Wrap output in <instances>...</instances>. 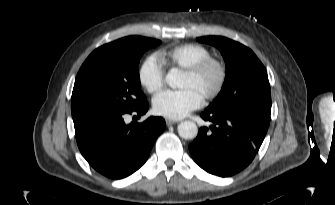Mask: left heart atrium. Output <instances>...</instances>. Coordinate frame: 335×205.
Wrapping results in <instances>:
<instances>
[{
  "instance_id": "39dd6f15",
  "label": "left heart atrium",
  "mask_w": 335,
  "mask_h": 205,
  "mask_svg": "<svg viewBox=\"0 0 335 205\" xmlns=\"http://www.w3.org/2000/svg\"><path fill=\"white\" fill-rule=\"evenodd\" d=\"M203 104V95L192 87L181 90H165L154 97L153 110L155 114L180 119Z\"/></svg>"
}]
</instances>
